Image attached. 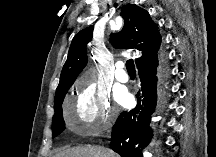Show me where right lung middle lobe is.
<instances>
[{
  "label": "right lung middle lobe",
  "instance_id": "1",
  "mask_svg": "<svg viewBox=\"0 0 216 157\" xmlns=\"http://www.w3.org/2000/svg\"><path fill=\"white\" fill-rule=\"evenodd\" d=\"M69 88L70 87L65 88L63 91H61L59 93V95L55 97V100H54L55 114L53 116V122H52L53 137H56L57 135H59L65 128V122L63 119L61 105H62L63 99H64L67 91L69 90Z\"/></svg>",
  "mask_w": 216,
  "mask_h": 157
}]
</instances>
